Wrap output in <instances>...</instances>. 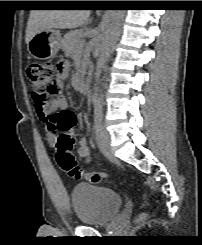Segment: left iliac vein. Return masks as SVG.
I'll list each match as a JSON object with an SVG mask.
<instances>
[{
    "label": "left iliac vein",
    "mask_w": 202,
    "mask_h": 245,
    "mask_svg": "<svg viewBox=\"0 0 202 245\" xmlns=\"http://www.w3.org/2000/svg\"><path fill=\"white\" fill-rule=\"evenodd\" d=\"M96 141L101 153L108 159L113 158V151L110 145V134L104 125H101L98 129Z\"/></svg>",
    "instance_id": "left-iliac-vein-1"
}]
</instances>
